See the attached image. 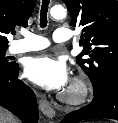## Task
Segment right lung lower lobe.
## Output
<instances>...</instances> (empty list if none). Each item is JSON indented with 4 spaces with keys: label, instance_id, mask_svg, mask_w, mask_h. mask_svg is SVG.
Returning a JSON list of instances; mask_svg holds the SVG:
<instances>
[{
    "label": "right lung lower lobe",
    "instance_id": "1",
    "mask_svg": "<svg viewBox=\"0 0 118 123\" xmlns=\"http://www.w3.org/2000/svg\"><path fill=\"white\" fill-rule=\"evenodd\" d=\"M19 66L0 70V105L25 123L38 122L36 97L31 88L18 79Z\"/></svg>",
    "mask_w": 118,
    "mask_h": 123
}]
</instances>
